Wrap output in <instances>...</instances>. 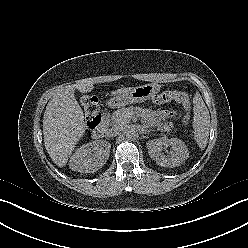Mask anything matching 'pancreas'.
<instances>
[{
	"instance_id": "cf45deb5",
	"label": "pancreas",
	"mask_w": 248,
	"mask_h": 248,
	"mask_svg": "<svg viewBox=\"0 0 248 248\" xmlns=\"http://www.w3.org/2000/svg\"><path fill=\"white\" fill-rule=\"evenodd\" d=\"M134 114H140L141 116H145L150 119H156L158 114L156 112L145 111L139 107H129V108H121L112 113L109 118V125L114 127H124L130 123L131 117ZM186 122V121H184ZM158 129L163 125L160 121L156 122ZM164 127H168L167 125H163Z\"/></svg>"
}]
</instances>
